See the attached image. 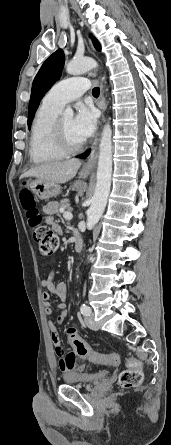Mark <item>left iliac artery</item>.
Instances as JSON below:
<instances>
[{"instance_id":"left-iliac-artery-1","label":"left iliac artery","mask_w":171,"mask_h":445,"mask_svg":"<svg viewBox=\"0 0 171 445\" xmlns=\"http://www.w3.org/2000/svg\"><path fill=\"white\" fill-rule=\"evenodd\" d=\"M80 311L84 316H87L90 314V308L84 303L81 305Z\"/></svg>"}]
</instances>
